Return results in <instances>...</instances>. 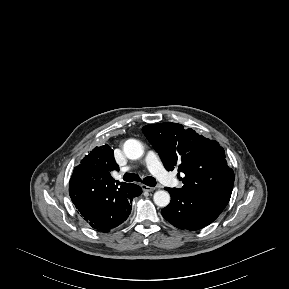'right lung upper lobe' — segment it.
<instances>
[{
    "label": "right lung upper lobe",
    "instance_id": "obj_1",
    "mask_svg": "<svg viewBox=\"0 0 289 289\" xmlns=\"http://www.w3.org/2000/svg\"><path fill=\"white\" fill-rule=\"evenodd\" d=\"M112 170H118V165L115 162L113 150L109 145L95 147L83 158L81 164L74 169L77 173L102 180L105 185H108L116 192L126 186L127 183L115 181L110 175Z\"/></svg>",
    "mask_w": 289,
    "mask_h": 289
}]
</instances>
